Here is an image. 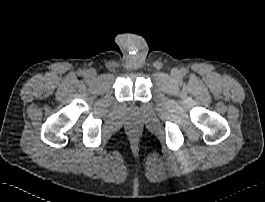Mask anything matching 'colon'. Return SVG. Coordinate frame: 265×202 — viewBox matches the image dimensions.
<instances>
[{
	"instance_id": "5ec220e1",
	"label": "colon",
	"mask_w": 265,
	"mask_h": 202,
	"mask_svg": "<svg viewBox=\"0 0 265 202\" xmlns=\"http://www.w3.org/2000/svg\"><path fill=\"white\" fill-rule=\"evenodd\" d=\"M133 137H134V138H137V136H136V135H134Z\"/></svg>"
}]
</instances>
